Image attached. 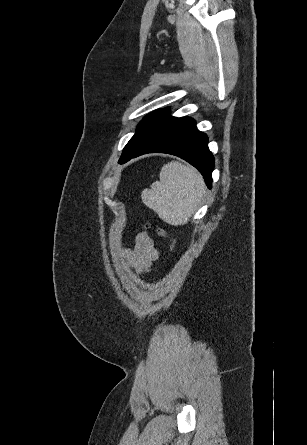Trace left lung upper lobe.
I'll return each mask as SVG.
<instances>
[{"label":"left lung upper lobe","mask_w":307,"mask_h":445,"mask_svg":"<svg viewBox=\"0 0 307 445\" xmlns=\"http://www.w3.org/2000/svg\"><path fill=\"white\" fill-rule=\"evenodd\" d=\"M175 120L176 118L170 116L167 109L158 110L145 116L139 123L136 133L125 146L119 163L123 164L147 139Z\"/></svg>","instance_id":"1"}]
</instances>
